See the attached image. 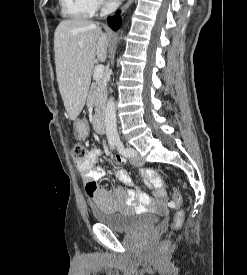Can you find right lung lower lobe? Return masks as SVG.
<instances>
[{
	"label": "right lung lower lobe",
	"instance_id": "1",
	"mask_svg": "<svg viewBox=\"0 0 247 275\" xmlns=\"http://www.w3.org/2000/svg\"><path fill=\"white\" fill-rule=\"evenodd\" d=\"M107 22L113 30H117L121 26L120 11L116 12V15L112 17H108Z\"/></svg>",
	"mask_w": 247,
	"mask_h": 275
}]
</instances>
